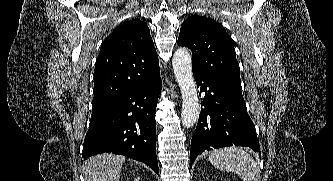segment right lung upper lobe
Here are the masks:
<instances>
[{"instance_id": "right-lung-upper-lobe-1", "label": "right lung upper lobe", "mask_w": 333, "mask_h": 181, "mask_svg": "<svg viewBox=\"0 0 333 181\" xmlns=\"http://www.w3.org/2000/svg\"><path fill=\"white\" fill-rule=\"evenodd\" d=\"M149 28L139 20L117 27L102 43L94 70L92 109L159 79Z\"/></svg>"}]
</instances>
